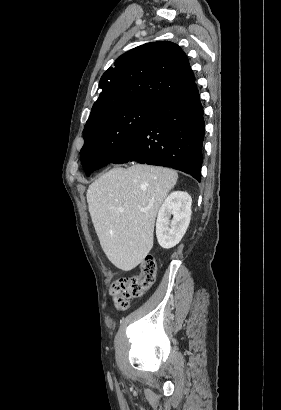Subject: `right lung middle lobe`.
Here are the masks:
<instances>
[{
  "label": "right lung middle lobe",
  "mask_w": 281,
  "mask_h": 410,
  "mask_svg": "<svg viewBox=\"0 0 281 410\" xmlns=\"http://www.w3.org/2000/svg\"><path fill=\"white\" fill-rule=\"evenodd\" d=\"M158 107L132 104L110 107L91 116L83 130L80 158L86 175L119 157L138 137Z\"/></svg>",
  "instance_id": "obj_1"
}]
</instances>
